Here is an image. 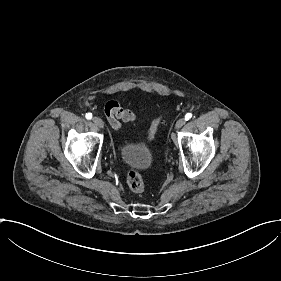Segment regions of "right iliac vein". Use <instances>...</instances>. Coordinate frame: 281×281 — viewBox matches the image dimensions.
<instances>
[{
    "label": "right iliac vein",
    "instance_id": "right-iliac-vein-1",
    "mask_svg": "<svg viewBox=\"0 0 281 281\" xmlns=\"http://www.w3.org/2000/svg\"><path fill=\"white\" fill-rule=\"evenodd\" d=\"M93 123L105 130V128H104L105 125H104L102 119H100V118H93Z\"/></svg>",
    "mask_w": 281,
    "mask_h": 281
}]
</instances>
